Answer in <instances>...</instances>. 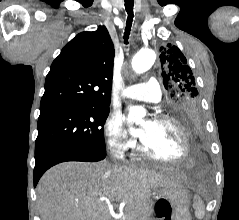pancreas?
<instances>
[{
	"instance_id": "cf45deb5",
	"label": "pancreas",
	"mask_w": 239,
	"mask_h": 220,
	"mask_svg": "<svg viewBox=\"0 0 239 220\" xmlns=\"http://www.w3.org/2000/svg\"><path fill=\"white\" fill-rule=\"evenodd\" d=\"M148 215L147 208L144 211H131L126 213V220H147Z\"/></svg>"
}]
</instances>
